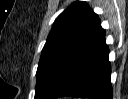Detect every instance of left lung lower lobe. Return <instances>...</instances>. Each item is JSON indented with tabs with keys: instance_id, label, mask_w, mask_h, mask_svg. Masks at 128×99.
Instances as JSON below:
<instances>
[{
	"instance_id": "1",
	"label": "left lung lower lobe",
	"mask_w": 128,
	"mask_h": 99,
	"mask_svg": "<svg viewBox=\"0 0 128 99\" xmlns=\"http://www.w3.org/2000/svg\"><path fill=\"white\" fill-rule=\"evenodd\" d=\"M101 25L57 70L43 99L62 96L112 99L111 67Z\"/></svg>"
}]
</instances>
